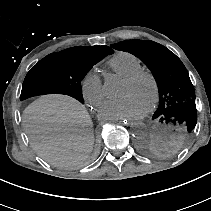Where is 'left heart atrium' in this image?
<instances>
[{"instance_id": "39dd6f15", "label": "left heart atrium", "mask_w": 211, "mask_h": 211, "mask_svg": "<svg viewBox=\"0 0 211 211\" xmlns=\"http://www.w3.org/2000/svg\"><path fill=\"white\" fill-rule=\"evenodd\" d=\"M145 112L144 107L131 95L106 101L98 112L104 120L139 118Z\"/></svg>"}]
</instances>
